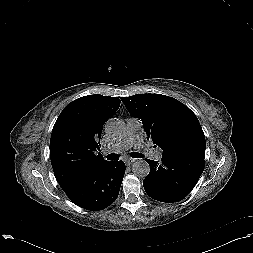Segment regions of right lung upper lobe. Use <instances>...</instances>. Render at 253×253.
<instances>
[{"label": "right lung upper lobe", "instance_id": "right-lung-upper-lobe-1", "mask_svg": "<svg viewBox=\"0 0 253 253\" xmlns=\"http://www.w3.org/2000/svg\"><path fill=\"white\" fill-rule=\"evenodd\" d=\"M119 106L118 97L94 94L78 98L62 110L50 139L51 164L62 189L107 163L97 152L99 140L104 123Z\"/></svg>", "mask_w": 253, "mask_h": 253}]
</instances>
